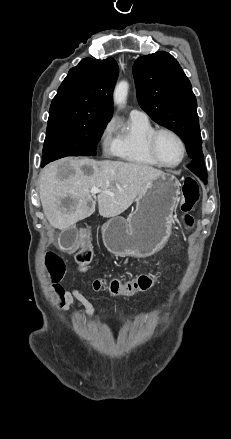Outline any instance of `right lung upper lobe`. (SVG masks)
Listing matches in <instances>:
<instances>
[{
  "label": "right lung upper lobe",
  "instance_id": "obj_1",
  "mask_svg": "<svg viewBox=\"0 0 231 439\" xmlns=\"http://www.w3.org/2000/svg\"><path fill=\"white\" fill-rule=\"evenodd\" d=\"M118 77L113 58L83 59L70 69L54 97L49 117L89 115L110 118L113 114L112 92Z\"/></svg>",
  "mask_w": 231,
  "mask_h": 439
}]
</instances>
